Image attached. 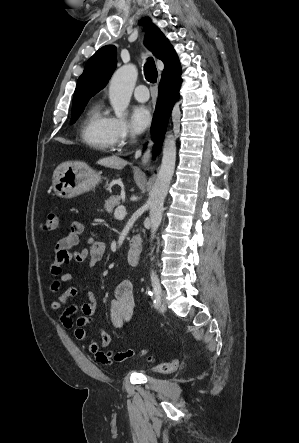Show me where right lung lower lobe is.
<instances>
[{
  "label": "right lung lower lobe",
  "mask_w": 299,
  "mask_h": 443,
  "mask_svg": "<svg viewBox=\"0 0 299 443\" xmlns=\"http://www.w3.org/2000/svg\"><path fill=\"white\" fill-rule=\"evenodd\" d=\"M180 74L162 77L159 85V97L152 124V134L157 144L154 147L155 153L160 152V144L164 138L170 112L179 96Z\"/></svg>",
  "instance_id": "obj_1"
}]
</instances>
